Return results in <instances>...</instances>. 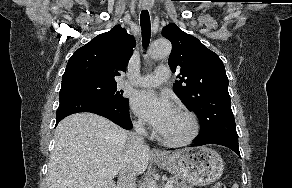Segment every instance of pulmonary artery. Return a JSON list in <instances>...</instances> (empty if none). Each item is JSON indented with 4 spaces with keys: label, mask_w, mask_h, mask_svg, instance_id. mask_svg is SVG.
<instances>
[{
    "label": "pulmonary artery",
    "mask_w": 292,
    "mask_h": 188,
    "mask_svg": "<svg viewBox=\"0 0 292 188\" xmlns=\"http://www.w3.org/2000/svg\"><path fill=\"white\" fill-rule=\"evenodd\" d=\"M169 77V68L166 66H160L152 74L143 75L137 78H127L124 81V84L137 87H156L166 81Z\"/></svg>",
    "instance_id": "obj_1"
}]
</instances>
